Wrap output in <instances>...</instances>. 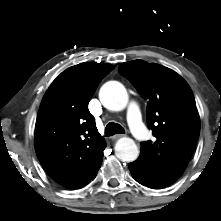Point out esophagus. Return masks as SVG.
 Returning <instances> with one entry per match:
<instances>
[{
	"mask_svg": "<svg viewBox=\"0 0 221 221\" xmlns=\"http://www.w3.org/2000/svg\"><path fill=\"white\" fill-rule=\"evenodd\" d=\"M122 137H126V135L125 134L115 135L114 139H119V138H122Z\"/></svg>",
	"mask_w": 221,
	"mask_h": 221,
	"instance_id": "esophagus-1",
	"label": "esophagus"
}]
</instances>
